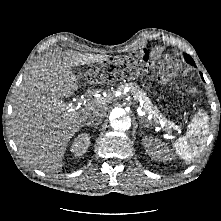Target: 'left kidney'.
Listing matches in <instances>:
<instances>
[{"label": "left kidney", "instance_id": "1", "mask_svg": "<svg viewBox=\"0 0 221 221\" xmlns=\"http://www.w3.org/2000/svg\"><path fill=\"white\" fill-rule=\"evenodd\" d=\"M142 143L146 148V152L151 158L163 161L172 159V155L169 149L165 146L164 143L160 142V140L149 137L144 138Z\"/></svg>", "mask_w": 221, "mask_h": 221}]
</instances>
